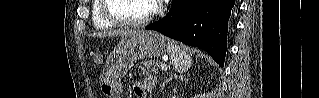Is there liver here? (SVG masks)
<instances>
[{
    "mask_svg": "<svg viewBox=\"0 0 319 98\" xmlns=\"http://www.w3.org/2000/svg\"><path fill=\"white\" fill-rule=\"evenodd\" d=\"M136 31H131V30H117V31H110V32H104V33H98L96 34L97 37H114V36H127Z\"/></svg>",
    "mask_w": 319,
    "mask_h": 98,
    "instance_id": "6515ba94",
    "label": "liver"
}]
</instances>
